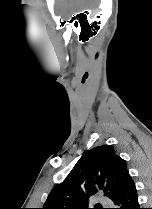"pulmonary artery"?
<instances>
[{
	"instance_id": "pulmonary-artery-1",
	"label": "pulmonary artery",
	"mask_w": 152,
	"mask_h": 209,
	"mask_svg": "<svg viewBox=\"0 0 152 209\" xmlns=\"http://www.w3.org/2000/svg\"><path fill=\"white\" fill-rule=\"evenodd\" d=\"M97 202L100 203L101 205L110 204L109 203L110 201L108 199H106V198H103V197L97 198Z\"/></svg>"
}]
</instances>
